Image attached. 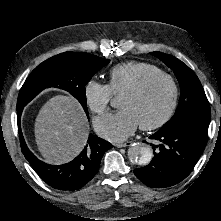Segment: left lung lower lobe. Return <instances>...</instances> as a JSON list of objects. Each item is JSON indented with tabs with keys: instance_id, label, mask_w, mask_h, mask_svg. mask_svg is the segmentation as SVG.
<instances>
[{
	"instance_id": "obj_1",
	"label": "left lung lower lobe",
	"mask_w": 221,
	"mask_h": 221,
	"mask_svg": "<svg viewBox=\"0 0 221 221\" xmlns=\"http://www.w3.org/2000/svg\"><path fill=\"white\" fill-rule=\"evenodd\" d=\"M161 142L150 164L134 170L144 184L153 188L170 187L193 170L207 141V129L187 125L172 132L157 131L149 137Z\"/></svg>"
}]
</instances>
